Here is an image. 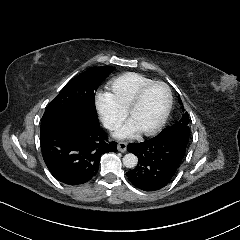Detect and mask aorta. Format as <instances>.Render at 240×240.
<instances>
[{
  "mask_svg": "<svg viewBox=\"0 0 240 240\" xmlns=\"http://www.w3.org/2000/svg\"><path fill=\"white\" fill-rule=\"evenodd\" d=\"M138 163L136 155L129 153L123 157V165L127 168H134Z\"/></svg>",
  "mask_w": 240,
  "mask_h": 240,
  "instance_id": "762f6f07",
  "label": "aorta"
}]
</instances>
